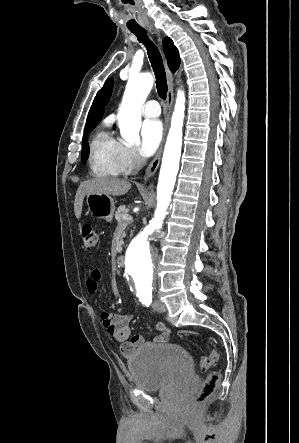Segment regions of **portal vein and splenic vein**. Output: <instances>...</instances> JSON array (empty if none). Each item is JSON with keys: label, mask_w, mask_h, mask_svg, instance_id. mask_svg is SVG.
Returning <instances> with one entry per match:
<instances>
[{"label": "portal vein and splenic vein", "mask_w": 299, "mask_h": 443, "mask_svg": "<svg viewBox=\"0 0 299 443\" xmlns=\"http://www.w3.org/2000/svg\"><path fill=\"white\" fill-rule=\"evenodd\" d=\"M123 219L126 220V221H129V220H132V217L129 216V215H124Z\"/></svg>", "instance_id": "1"}]
</instances>
